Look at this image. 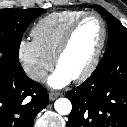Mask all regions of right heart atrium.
Masks as SVG:
<instances>
[{
	"mask_svg": "<svg viewBox=\"0 0 127 127\" xmlns=\"http://www.w3.org/2000/svg\"><path fill=\"white\" fill-rule=\"evenodd\" d=\"M18 57L28 77L35 82L43 81L53 67V59L44 54L33 40L19 41Z\"/></svg>",
	"mask_w": 127,
	"mask_h": 127,
	"instance_id": "right-heart-atrium-1",
	"label": "right heart atrium"
}]
</instances>
